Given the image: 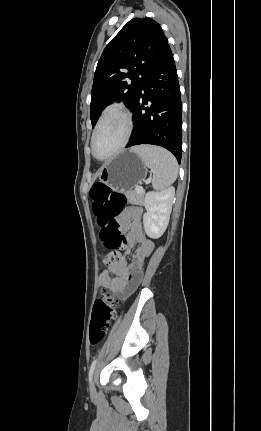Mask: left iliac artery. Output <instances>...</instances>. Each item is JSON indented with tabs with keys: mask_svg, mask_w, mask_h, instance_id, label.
I'll return each mask as SVG.
<instances>
[{
	"mask_svg": "<svg viewBox=\"0 0 261 431\" xmlns=\"http://www.w3.org/2000/svg\"><path fill=\"white\" fill-rule=\"evenodd\" d=\"M96 363H97V360L95 359V360L92 362L91 367H90V370H89V381H90V382L92 381V376H93V373H94V369H95V367H96Z\"/></svg>",
	"mask_w": 261,
	"mask_h": 431,
	"instance_id": "1",
	"label": "left iliac artery"
}]
</instances>
